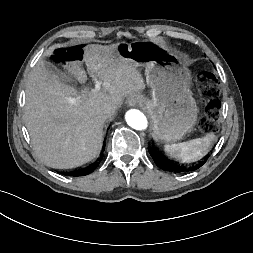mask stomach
<instances>
[{
	"mask_svg": "<svg viewBox=\"0 0 253 253\" xmlns=\"http://www.w3.org/2000/svg\"><path fill=\"white\" fill-rule=\"evenodd\" d=\"M117 51L146 68L152 98H141L152 119L154 137L167 144L182 140L193 130L198 109L189 89L191 74L181 58L146 41L119 43Z\"/></svg>",
	"mask_w": 253,
	"mask_h": 253,
	"instance_id": "stomach-1",
	"label": "stomach"
}]
</instances>
